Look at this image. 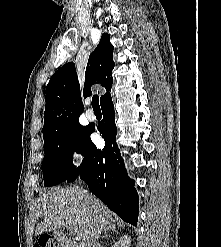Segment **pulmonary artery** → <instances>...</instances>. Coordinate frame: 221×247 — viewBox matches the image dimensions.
<instances>
[{"instance_id":"e3ab8cb5","label":"pulmonary artery","mask_w":221,"mask_h":247,"mask_svg":"<svg viewBox=\"0 0 221 247\" xmlns=\"http://www.w3.org/2000/svg\"><path fill=\"white\" fill-rule=\"evenodd\" d=\"M85 115L90 121H93L95 119V114L91 109L86 110Z\"/></svg>"}]
</instances>
